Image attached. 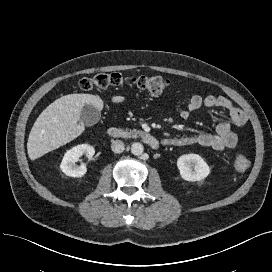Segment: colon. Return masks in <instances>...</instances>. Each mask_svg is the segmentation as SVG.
Listing matches in <instances>:
<instances>
[{"label": "colon", "instance_id": "1", "mask_svg": "<svg viewBox=\"0 0 272 272\" xmlns=\"http://www.w3.org/2000/svg\"><path fill=\"white\" fill-rule=\"evenodd\" d=\"M123 85L134 86L149 92L152 95H160L170 87L169 79L162 76H123L119 73H103L93 77L83 78L79 87L83 91H106L110 88ZM250 166L248 157L237 154L233 160V168L237 173L245 172Z\"/></svg>", "mask_w": 272, "mask_h": 272}]
</instances>
